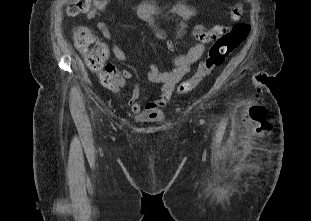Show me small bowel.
Instances as JSON below:
<instances>
[{
  "instance_id": "small-bowel-1",
  "label": "small bowel",
  "mask_w": 311,
  "mask_h": 221,
  "mask_svg": "<svg viewBox=\"0 0 311 221\" xmlns=\"http://www.w3.org/2000/svg\"><path fill=\"white\" fill-rule=\"evenodd\" d=\"M110 0H96L93 7L87 13V19H96V26L100 33L111 42V51L114 57L121 62L129 60L125 52L112 40V34L106 26L105 22L100 19L101 13L105 10ZM137 16L145 23L149 31L158 39H167L170 49L173 48L174 42L179 40L186 28V22L195 15V10L185 4L178 3L169 9L161 8L155 2L146 0L141 2L136 7ZM155 16L168 18H177L180 20L179 27L173 38H168L164 31L156 25ZM205 51L202 43H197L190 47L186 53L177 54L174 59V69L168 72H161L156 64H151L147 71L148 81L155 84H161L159 93L153 100L144 103L140 98L143 89L137 84H134L128 105L131 112L140 120L157 118L161 109L170 100L175 84L189 71L192 64L197 62ZM119 85L114 91H119L126 81L133 79V73L128 68H123L118 71Z\"/></svg>"
}]
</instances>
